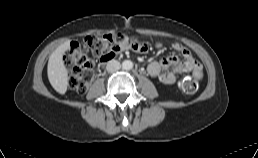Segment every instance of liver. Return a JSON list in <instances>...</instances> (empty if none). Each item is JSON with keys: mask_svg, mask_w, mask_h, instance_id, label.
<instances>
[{"mask_svg": "<svg viewBox=\"0 0 258 158\" xmlns=\"http://www.w3.org/2000/svg\"><path fill=\"white\" fill-rule=\"evenodd\" d=\"M70 41L58 46L50 55L47 75L52 87L60 94H65L68 86V70L63 61V55L69 49Z\"/></svg>", "mask_w": 258, "mask_h": 158, "instance_id": "liver-1", "label": "liver"}]
</instances>
